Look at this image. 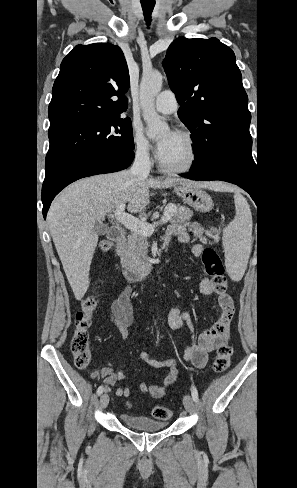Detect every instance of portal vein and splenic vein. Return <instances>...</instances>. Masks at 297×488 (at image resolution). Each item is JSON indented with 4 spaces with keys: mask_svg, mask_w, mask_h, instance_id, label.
<instances>
[{
    "mask_svg": "<svg viewBox=\"0 0 297 488\" xmlns=\"http://www.w3.org/2000/svg\"><path fill=\"white\" fill-rule=\"evenodd\" d=\"M125 204H121L116 208L114 211V215L116 219L124 225L126 228L130 229L133 232L142 234L144 236H151L155 230V226H157L159 223L155 222L154 224H149L147 222H143L139 220L138 218H135L134 216L125 213ZM174 211V206L173 205H168L165 207L163 215L160 220V224H165L170 220V213Z\"/></svg>",
    "mask_w": 297,
    "mask_h": 488,
    "instance_id": "1",
    "label": "portal vein and splenic vein"
}]
</instances>
